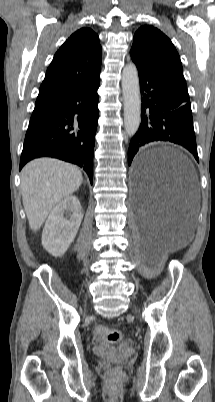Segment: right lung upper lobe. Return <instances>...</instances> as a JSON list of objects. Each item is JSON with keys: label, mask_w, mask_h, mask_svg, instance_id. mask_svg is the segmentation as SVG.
<instances>
[{"label": "right lung upper lobe", "mask_w": 215, "mask_h": 402, "mask_svg": "<svg viewBox=\"0 0 215 402\" xmlns=\"http://www.w3.org/2000/svg\"><path fill=\"white\" fill-rule=\"evenodd\" d=\"M102 48L98 35L84 27L59 48L46 71L36 103L51 104L93 82L100 75Z\"/></svg>", "instance_id": "cb5924a9"}]
</instances>
